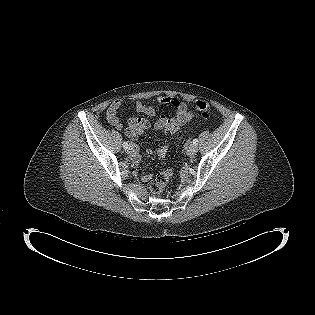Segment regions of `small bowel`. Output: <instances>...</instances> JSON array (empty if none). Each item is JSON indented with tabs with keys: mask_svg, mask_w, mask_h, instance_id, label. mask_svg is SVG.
Masks as SVG:
<instances>
[{
	"mask_svg": "<svg viewBox=\"0 0 315 315\" xmlns=\"http://www.w3.org/2000/svg\"><path fill=\"white\" fill-rule=\"evenodd\" d=\"M157 102L160 104L168 105L172 107L175 110V115L173 117L160 115L155 122L154 127L157 130H160L164 133H176L180 126L190 121L193 117V113L189 108L188 103L180 100L177 97L173 96H158L156 98ZM125 105V102L123 100H115L113 101L106 111V118L107 121L116 127L117 129L122 128V123L118 117V111ZM135 111L145 114L150 117L157 116V111L154 107L147 105L141 100H137L135 102ZM150 125V122L148 119L143 118L138 122H135L131 124L127 130L126 133L129 137H136L137 135L143 133ZM134 150L131 154L132 161L135 163H139L141 161V157L137 151V148L135 146ZM168 150L167 145H163L158 150V155L160 158H163ZM152 178V175L150 173H145L141 176V180L143 182H148Z\"/></svg>",
	"mask_w": 315,
	"mask_h": 315,
	"instance_id": "c3829d8e",
	"label": "small bowel"
}]
</instances>
